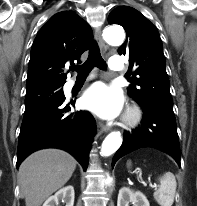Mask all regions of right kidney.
<instances>
[{
  "instance_id": "right-kidney-1",
  "label": "right kidney",
  "mask_w": 197,
  "mask_h": 206,
  "mask_svg": "<svg viewBox=\"0 0 197 206\" xmlns=\"http://www.w3.org/2000/svg\"><path fill=\"white\" fill-rule=\"evenodd\" d=\"M74 188L73 186L69 185L63 187L59 191L55 193V195L49 197L43 206H57L59 204V200L66 203V206H73L74 205Z\"/></svg>"
}]
</instances>
